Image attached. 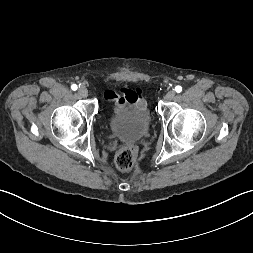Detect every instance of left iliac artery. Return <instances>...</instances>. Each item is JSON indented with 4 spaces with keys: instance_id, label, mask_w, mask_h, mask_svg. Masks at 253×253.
Returning <instances> with one entry per match:
<instances>
[{
    "instance_id": "left-iliac-artery-1",
    "label": "left iliac artery",
    "mask_w": 253,
    "mask_h": 253,
    "mask_svg": "<svg viewBox=\"0 0 253 253\" xmlns=\"http://www.w3.org/2000/svg\"><path fill=\"white\" fill-rule=\"evenodd\" d=\"M175 91L177 92V93H180L181 91H182V87L181 86H176L175 87Z\"/></svg>"
}]
</instances>
